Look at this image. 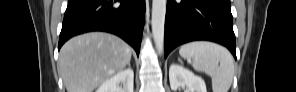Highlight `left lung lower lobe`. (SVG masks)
<instances>
[{
    "label": "left lung lower lobe",
    "mask_w": 296,
    "mask_h": 92,
    "mask_svg": "<svg viewBox=\"0 0 296 92\" xmlns=\"http://www.w3.org/2000/svg\"><path fill=\"white\" fill-rule=\"evenodd\" d=\"M208 40L226 46L236 59L230 0H168L165 57L177 46Z\"/></svg>",
    "instance_id": "obj_1"
}]
</instances>
